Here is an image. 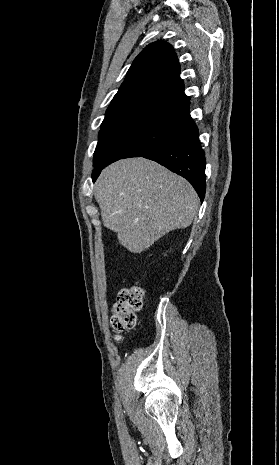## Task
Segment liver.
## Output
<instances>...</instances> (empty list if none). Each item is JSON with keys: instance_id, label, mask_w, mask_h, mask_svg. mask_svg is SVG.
<instances>
[{"instance_id": "6515ba94", "label": "liver", "mask_w": 279, "mask_h": 465, "mask_svg": "<svg viewBox=\"0 0 279 465\" xmlns=\"http://www.w3.org/2000/svg\"><path fill=\"white\" fill-rule=\"evenodd\" d=\"M94 197L104 226L139 254L166 233L188 227L199 206L186 179L145 158L109 165L95 183Z\"/></svg>"}]
</instances>
